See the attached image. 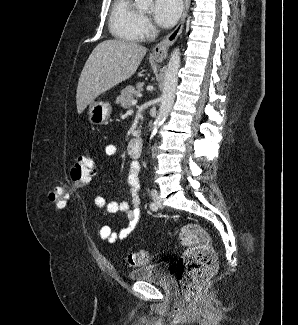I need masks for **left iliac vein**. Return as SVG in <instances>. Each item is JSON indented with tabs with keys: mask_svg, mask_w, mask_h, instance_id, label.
I'll return each instance as SVG.
<instances>
[{
	"mask_svg": "<svg viewBox=\"0 0 298 325\" xmlns=\"http://www.w3.org/2000/svg\"><path fill=\"white\" fill-rule=\"evenodd\" d=\"M151 196H152V199H153L155 205L157 206V208H161L162 207V201L160 199V196H159V193H158L157 189L152 190Z\"/></svg>",
	"mask_w": 298,
	"mask_h": 325,
	"instance_id": "left-iliac-vein-1",
	"label": "left iliac vein"
}]
</instances>
